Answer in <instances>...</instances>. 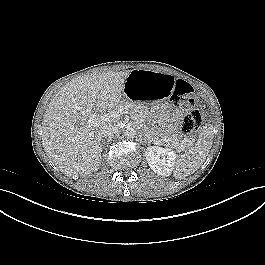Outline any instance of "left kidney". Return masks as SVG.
Segmentation results:
<instances>
[{
  "instance_id": "left-kidney-1",
  "label": "left kidney",
  "mask_w": 265,
  "mask_h": 265,
  "mask_svg": "<svg viewBox=\"0 0 265 265\" xmlns=\"http://www.w3.org/2000/svg\"><path fill=\"white\" fill-rule=\"evenodd\" d=\"M145 156L150 168L155 173L167 177L173 171L176 159L173 150L159 146H150L147 147Z\"/></svg>"
}]
</instances>
